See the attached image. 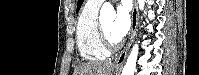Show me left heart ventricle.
Here are the masks:
<instances>
[{
    "label": "left heart ventricle",
    "instance_id": "1",
    "mask_svg": "<svg viewBox=\"0 0 199 75\" xmlns=\"http://www.w3.org/2000/svg\"><path fill=\"white\" fill-rule=\"evenodd\" d=\"M112 23H113L112 19L105 20V21L102 22V26H103V29H104L107 37L111 41L116 42L115 38L111 35V26H112Z\"/></svg>",
    "mask_w": 199,
    "mask_h": 75
}]
</instances>
